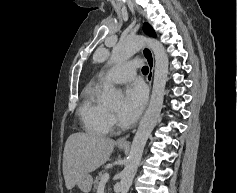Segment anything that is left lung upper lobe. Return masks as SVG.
Wrapping results in <instances>:
<instances>
[{
    "label": "left lung upper lobe",
    "instance_id": "obj_1",
    "mask_svg": "<svg viewBox=\"0 0 237 193\" xmlns=\"http://www.w3.org/2000/svg\"><path fill=\"white\" fill-rule=\"evenodd\" d=\"M143 30L147 35L156 37V34H155L153 28L148 23H144Z\"/></svg>",
    "mask_w": 237,
    "mask_h": 193
}]
</instances>
